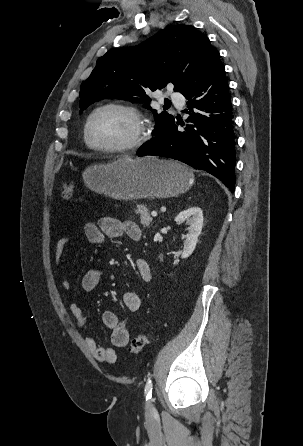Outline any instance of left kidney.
<instances>
[{
	"mask_svg": "<svg viewBox=\"0 0 303 446\" xmlns=\"http://www.w3.org/2000/svg\"><path fill=\"white\" fill-rule=\"evenodd\" d=\"M175 222L180 224L186 222L188 227V234L184 241V248L181 255L182 259L188 258L195 250L198 237L201 234L203 227V212L199 207H190L187 210L180 212L175 217Z\"/></svg>",
	"mask_w": 303,
	"mask_h": 446,
	"instance_id": "1",
	"label": "left kidney"
}]
</instances>
